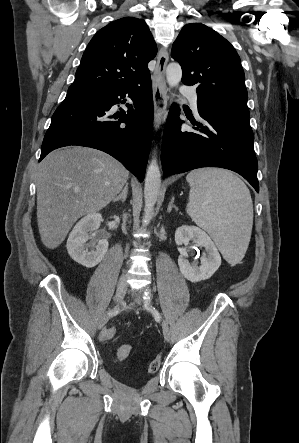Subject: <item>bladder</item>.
<instances>
[{
  "label": "bladder",
  "mask_w": 299,
  "mask_h": 443,
  "mask_svg": "<svg viewBox=\"0 0 299 443\" xmlns=\"http://www.w3.org/2000/svg\"><path fill=\"white\" fill-rule=\"evenodd\" d=\"M121 378L131 383L138 382L140 380V376L135 373H124L121 375Z\"/></svg>",
  "instance_id": "obj_1"
}]
</instances>
